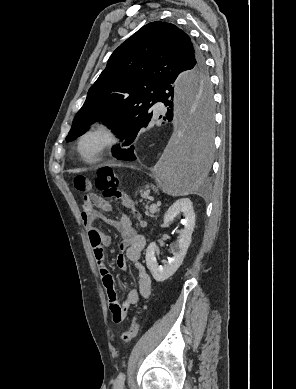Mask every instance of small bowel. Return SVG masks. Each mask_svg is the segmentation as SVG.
Returning a JSON list of instances; mask_svg holds the SVG:
<instances>
[{
    "instance_id": "1",
    "label": "small bowel",
    "mask_w": 296,
    "mask_h": 389,
    "mask_svg": "<svg viewBox=\"0 0 296 389\" xmlns=\"http://www.w3.org/2000/svg\"><path fill=\"white\" fill-rule=\"evenodd\" d=\"M112 206L110 202L94 193H87L83 196L81 204V219L96 259L98 269L102 278L103 286L109 299V308L112 317L119 311L124 318L131 306L137 305L141 299H147L151 294L152 280L141 263V254L146 245L145 238L139 235L134 229L128 215L123 214L117 221L110 223L121 235L119 248L122 251L117 258V266L125 269L128 262L133 263L137 270L138 285L128 291L123 302H120L115 290L114 278L106 265L104 248L111 244V237L98 230L94 222L102 212H109Z\"/></svg>"
}]
</instances>
